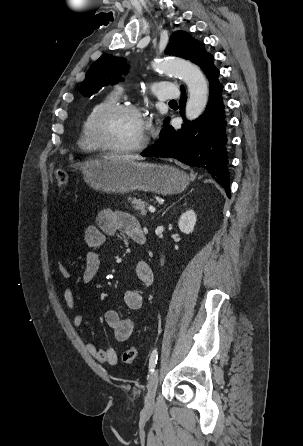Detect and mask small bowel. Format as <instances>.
<instances>
[{
    "label": "small bowel",
    "instance_id": "c3829d8e",
    "mask_svg": "<svg viewBox=\"0 0 303 446\" xmlns=\"http://www.w3.org/2000/svg\"><path fill=\"white\" fill-rule=\"evenodd\" d=\"M124 234L138 243L137 239L144 235L137 219L129 213L114 210H104L96 218L95 225H89L83 235V242L86 247L85 265L83 270V281L92 282L98 275L101 260L97 249L101 247L106 237L116 234ZM61 276L65 279L70 277L68 269L61 263L58 265ZM153 282V273L150 266L145 261H139L135 269V283L125 291L123 301L125 306L131 310H139L142 306L143 291ZM63 297L70 310L75 308L73 290L67 287ZM105 323L112 329L114 337L119 342H124L130 338L134 330V322L131 318H124L117 310H108L104 314ZM84 316L81 313L74 315L73 324L80 327L83 324ZM87 352L98 362L115 365L118 361L117 353L113 348L99 349L94 343L87 342Z\"/></svg>",
    "mask_w": 303,
    "mask_h": 446
}]
</instances>
